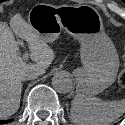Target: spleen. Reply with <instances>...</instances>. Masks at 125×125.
Returning <instances> with one entry per match:
<instances>
[{"mask_svg": "<svg viewBox=\"0 0 125 125\" xmlns=\"http://www.w3.org/2000/svg\"><path fill=\"white\" fill-rule=\"evenodd\" d=\"M125 112V99L103 101L77 94L71 105L70 118L75 125H110Z\"/></svg>", "mask_w": 125, "mask_h": 125, "instance_id": "3e777b00", "label": "spleen"}]
</instances>
